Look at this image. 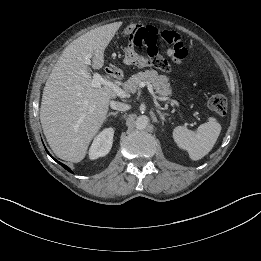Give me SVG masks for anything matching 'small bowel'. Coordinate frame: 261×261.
<instances>
[{"instance_id":"c3829d8e","label":"small bowel","mask_w":261,"mask_h":261,"mask_svg":"<svg viewBox=\"0 0 261 261\" xmlns=\"http://www.w3.org/2000/svg\"><path fill=\"white\" fill-rule=\"evenodd\" d=\"M185 49V53L187 55V50ZM167 55L172 57L173 61L177 64L181 63L182 59L185 57H180L178 56L173 48H168L166 51ZM123 58H124V62L127 65H133V66H137V67H148L150 65L149 60L139 54L136 50H135V46L133 45L132 42L129 41L128 45H126L123 48Z\"/></svg>"}]
</instances>
